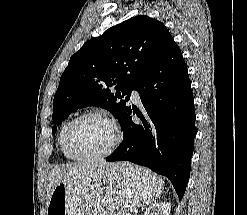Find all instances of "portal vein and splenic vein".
<instances>
[{
  "instance_id": "portal-vein-and-splenic-vein-1",
  "label": "portal vein and splenic vein",
  "mask_w": 247,
  "mask_h": 215,
  "mask_svg": "<svg viewBox=\"0 0 247 215\" xmlns=\"http://www.w3.org/2000/svg\"><path fill=\"white\" fill-rule=\"evenodd\" d=\"M126 215H131L130 213H127Z\"/></svg>"
}]
</instances>
